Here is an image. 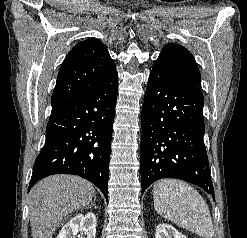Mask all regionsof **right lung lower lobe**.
<instances>
[{
    "label": "right lung lower lobe",
    "instance_id": "98d812e1",
    "mask_svg": "<svg viewBox=\"0 0 247 238\" xmlns=\"http://www.w3.org/2000/svg\"><path fill=\"white\" fill-rule=\"evenodd\" d=\"M118 74L51 112L45 145L35 161L28 191L52 174H73L91 181L107 198L111 136Z\"/></svg>",
    "mask_w": 247,
    "mask_h": 238
}]
</instances>
